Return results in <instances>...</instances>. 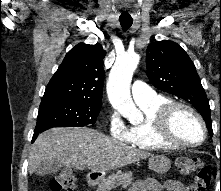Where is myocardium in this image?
I'll return each mask as SVG.
<instances>
[{"label": "myocardium", "instance_id": "obj_1", "mask_svg": "<svg viewBox=\"0 0 221 191\" xmlns=\"http://www.w3.org/2000/svg\"><path fill=\"white\" fill-rule=\"evenodd\" d=\"M180 112H187L199 124L202 131V138L199 142H186L177 137L174 130V120ZM155 136L165 146L191 148L201 145L206 140L207 128L203 118L194 108L182 102L170 101L160 106L156 112Z\"/></svg>", "mask_w": 221, "mask_h": 191}]
</instances>
